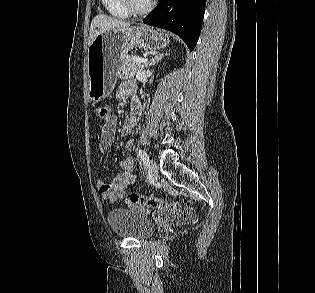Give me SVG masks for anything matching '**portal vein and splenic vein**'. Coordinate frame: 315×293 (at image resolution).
<instances>
[{
	"label": "portal vein and splenic vein",
	"instance_id": "obj_1",
	"mask_svg": "<svg viewBox=\"0 0 315 293\" xmlns=\"http://www.w3.org/2000/svg\"><path fill=\"white\" fill-rule=\"evenodd\" d=\"M131 61L133 63H146V62H148V59H144V58H141V57H133L131 59Z\"/></svg>",
	"mask_w": 315,
	"mask_h": 293
}]
</instances>
